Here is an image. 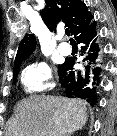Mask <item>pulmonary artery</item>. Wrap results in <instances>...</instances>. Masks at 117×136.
<instances>
[{
    "label": "pulmonary artery",
    "instance_id": "pulmonary-artery-1",
    "mask_svg": "<svg viewBox=\"0 0 117 136\" xmlns=\"http://www.w3.org/2000/svg\"><path fill=\"white\" fill-rule=\"evenodd\" d=\"M58 51L63 55H68L71 52V48L69 45H67L65 43H60L58 45Z\"/></svg>",
    "mask_w": 117,
    "mask_h": 136
}]
</instances>
